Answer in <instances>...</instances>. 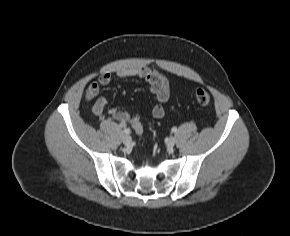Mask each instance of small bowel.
I'll use <instances>...</instances> for the list:
<instances>
[{"label":"small bowel","mask_w":290,"mask_h":236,"mask_svg":"<svg viewBox=\"0 0 290 236\" xmlns=\"http://www.w3.org/2000/svg\"><path fill=\"white\" fill-rule=\"evenodd\" d=\"M117 75L121 78L139 77L145 80L149 84L150 91L157 102L152 108V116L156 119H161L164 116L165 111L162 104L169 98V84L161 73L147 66H135L121 69ZM110 83L111 74L106 72L100 75L97 81L92 82L86 90V97L88 99H95L92 111L98 117H105V108L107 105V99L105 97H98L100 88L108 86ZM108 115L118 120L122 126H125L131 120L128 112L118 107L112 108L108 112Z\"/></svg>","instance_id":"1"}]
</instances>
